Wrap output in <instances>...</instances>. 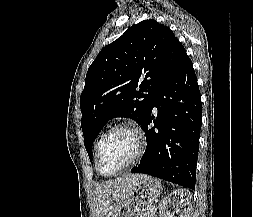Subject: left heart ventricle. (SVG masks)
Instances as JSON below:
<instances>
[{
	"instance_id": "b2bd125f",
	"label": "left heart ventricle",
	"mask_w": 253,
	"mask_h": 217,
	"mask_svg": "<svg viewBox=\"0 0 253 217\" xmlns=\"http://www.w3.org/2000/svg\"><path fill=\"white\" fill-rule=\"evenodd\" d=\"M136 151V140L132 133L118 130L103 142L99 153V167L104 173H112L126 164Z\"/></svg>"
}]
</instances>
